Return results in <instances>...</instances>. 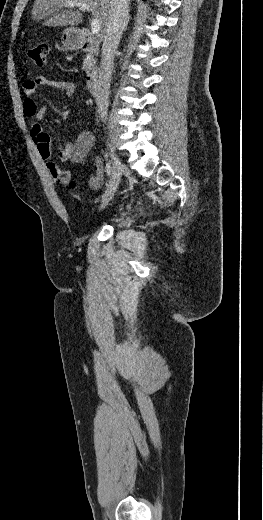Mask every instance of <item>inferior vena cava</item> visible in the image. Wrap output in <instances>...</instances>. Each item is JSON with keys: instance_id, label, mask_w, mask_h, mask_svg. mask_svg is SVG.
I'll list each match as a JSON object with an SVG mask.
<instances>
[{"instance_id": "inferior-vena-cava-1", "label": "inferior vena cava", "mask_w": 263, "mask_h": 520, "mask_svg": "<svg viewBox=\"0 0 263 520\" xmlns=\"http://www.w3.org/2000/svg\"><path fill=\"white\" fill-rule=\"evenodd\" d=\"M129 1L130 0H112L113 9L104 35L97 88L98 114L103 122L107 119L114 54L128 19Z\"/></svg>"}]
</instances>
